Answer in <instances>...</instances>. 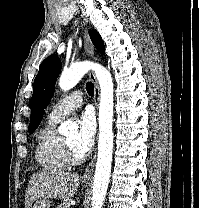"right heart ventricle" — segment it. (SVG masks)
Returning <instances> with one entry per match:
<instances>
[{"mask_svg":"<svg viewBox=\"0 0 199 208\" xmlns=\"http://www.w3.org/2000/svg\"><path fill=\"white\" fill-rule=\"evenodd\" d=\"M60 120L49 116L37 136L35 157L41 168L48 172H59L68 166L64 139L57 131Z\"/></svg>","mask_w":199,"mask_h":208,"instance_id":"right-heart-ventricle-1","label":"right heart ventricle"}]
</instances>
